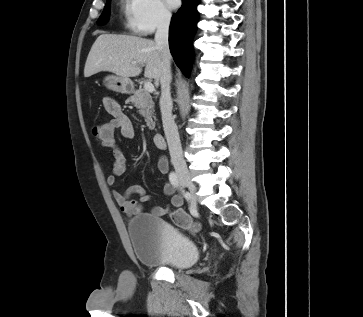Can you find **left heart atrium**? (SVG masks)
<instances>
[{"label": "left heart atrium", "instance_id": "1", "mask_svg": "<svg viewBox=\"0 0 363 317\" xmlns=\"http://www.w3.org/2000/svg\"><path fill=\"white\" fill-rule=\"evenodd\" d=\"M170 8H177L179 6L180 0H166Z\"/></svg>", "mask_w": 363, "mask_h": 317}]
</instances>
